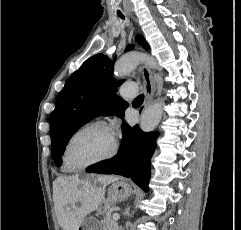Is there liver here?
I'll use <instances>...</instances> for the list:
<instances>
[{
	"instance_id": "obj_1",
	"label": "liver",
	"mask_w": 241,
	"mask_h": 230,
	"mask_svg": "<svg viewBox=\"0 0 241 230\" xmlns=\"http://www.w3.org/2000/svg\"><path fill=\"white\" fill-rule=\"evenodd\" d=\"M118 179L104 175L92 182L80 181L78 176L58 177L53 183V199L63 230H78L86 215L96 210L104 199L106 186Z\"/></svg>"
}]
</instances>
